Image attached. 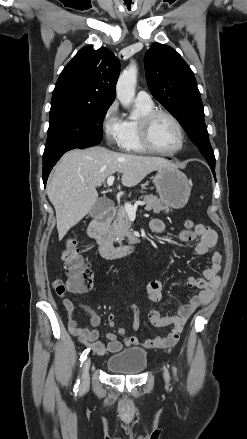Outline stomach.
<instances>
[{"mask_svg": "<svg viewBox=\"0 0 247 439\" xmlns=\"http://www.w3.org/2000/svg\"><path fill=\"white\" fill-rule=\"evenodd\" d=\"M153 183L163 204L175 209L183 208L190 197L191 183L176 166L157 170Z\"/></svg>", "mask_w": 247, "mask_h": 439, "instance_id": "stomach-1", "label": "stomach"}]
</instances>
